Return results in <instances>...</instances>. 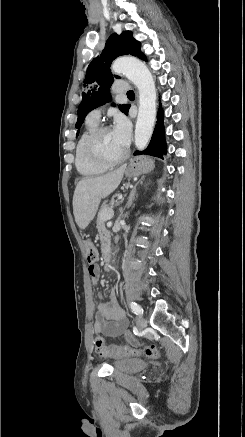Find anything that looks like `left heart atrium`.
Listing matches in <instances>:
<instances>
[{"mask_svg": "<svg viewBox=\"0 0 245 437\" xmlns=\"http://www.w3.org/2000/svg\"><path fill=\"white\" fill-rule=\"evenodd\" d=\"M112 131L120 145L126 149L129 145L131 134V127L128 120L122 115L116 116Z\"/></svg>", "mask_w": 245, "mask_h": 437, "instance_id": "left-heart-atrium-1", "label": "left heart atrium"}]
</instances>
